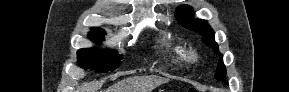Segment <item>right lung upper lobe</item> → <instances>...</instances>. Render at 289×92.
Instances as JSON below:
<instances>
[{"mask_svg": "<svg viewBox=\"0 0 289 92\" xmlns=\"http://www.w3.org/2000/svg\"><path fill=\"white\" fill-rule=\"evenodd\" d=\"M92 31H99V32H104L102 29H100V28H92L91 29Z\"/></svg>", "mask_w": 289, "mask_h": 92, "instance_id": "1", "label": "right lung upper lobe"}]
</instances>
